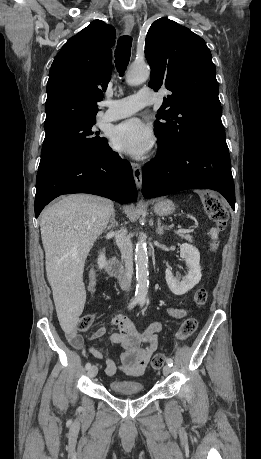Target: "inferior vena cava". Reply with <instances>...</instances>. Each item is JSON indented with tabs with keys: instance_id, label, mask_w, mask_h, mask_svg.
<instances>
[{
	"instance_id": "1",
	"label": "inferior vena cava",
	"mask_w": 261,
	"mask_h": 459,
	"mask_svg": "<svg viewBox=\"0 0 261 459\" xmlns=\"http://www.w3.org/2000/svg\"><path fill=\"white\" fill-rule=\"evenodd\" d=\"M115 239L122 255V261L124 262V277L127 286L131 282L133 275V248L131 238L128 236L127 230L121 228L116 232Z\"/></svg>"
}]
</instances>
